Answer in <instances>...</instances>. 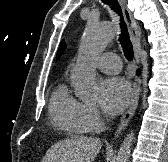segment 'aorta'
Wrapping results in <instances>:
<instances>
[{
  "label": "aorta",
  "instance_id": "1",
  "mask_svg": "<svg viewBox=\"0 0 168 162\" xmlns=\"http://www.w3.org/2000/svg\"><path fill=\"white\" fill-rule=\"evenodd\" d=\"M116 30L110 22L89 21L81 39L77 64L71 72L76 95L82 100H93L98 94L94 59L98 57L115 37ZM134 133L131 131L117 153L116 162H128Z\"/></svg>",
  "mask_w": 168,
  "mask_h": 162
}]
</instances>
